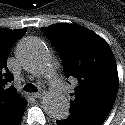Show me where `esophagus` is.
Segmentation results:
<instances>
[{
    "label": "esophagus",
    "instance_id": "34e87169",
    "mask_svg": "<svg viewBox=\"0 0 125 125\" xmlns=\"http://www.w3.org/2000/svg\"><path fill=\"white\" fill-rule=\"evenodd\" d=\"M42 95H43L42 92H37V93H33L32 97H34V98H40V97H42Z\"/></svg>",
    "mask_w": 125,
    "mask_h": 125
}]
</instances>
